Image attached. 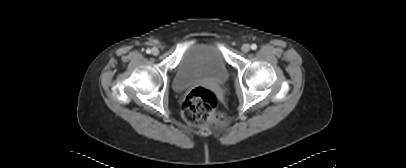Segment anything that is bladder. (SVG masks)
<instances>
[{"label": "bladder", "instance_id": "1", "mask_svg": "<svg viewBox=\"0 0 406 168\" xmlns=\"http://www.w3.org/2000/svg\"><path fill=\"white\" fill-rule=\"evenodd\" d=\"M228 78L227 63L218 48L209 43H195L182 53L172 86L183 91L200 80L224 83Z\"/></svg>", "mask_w": 406, "mask_h": 168}]
</instances>
